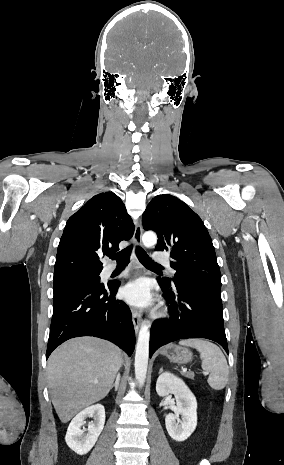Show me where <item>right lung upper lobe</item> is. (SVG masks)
<instances>
[{"label": "right lung upper lobe", "instance_id": "right-lung-upper-lobe-1", "mask_svg": "<svg viewBox=\"0 0 284 465\" xmlns=\"http://www.w3.org/2000/svg\"><path fill=\"white\" fill-rule=\"evenodd\" d=\"M134 225L121 199L113 192L92 197L67 221L59 242L54 281L80 275L100 274L99 256L119 250L129 240Z\"/></svg>", "mask_w": 284, "mask_h": 465}]
</instances>
